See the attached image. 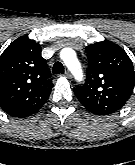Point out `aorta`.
Masks as SVG:
<instances>
[{"label":"aorta","instance_id":"1","mask_svg":"<svg viewBox=\"0 0 135 165\" xmlns=\"http://www.w3.org/2000/svg\"><path fill=\"white\" fill-rule=\"evenodd\" d=\"M61 58L66 66L73 72L76 79L82 78V71L75 52L71 48H65L61 51Z\"/></svg>","mask_w":135,"mask_h":165}]
</instances>
